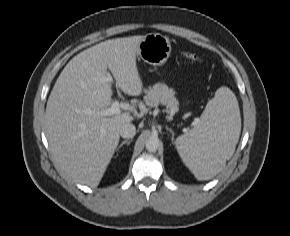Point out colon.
I'll use <instances>...</instances> for the list:
<instances>
[{
  "label": "colon",
  "instance_id": "colon-1",
  "mask_svg": "<svg viewBox=\"0 0 290 236\" xmlns=\"http://www.w3.org/2000/svg\"><path fill=\"white\" fill-rule=\"evenodd\" d=\"M185 56L191 61H200V59L197 57V55H195L193 53H186Z\"/></svg>",
  "mask_w": 290,
  "mask_h": 236
}]
</instances>
